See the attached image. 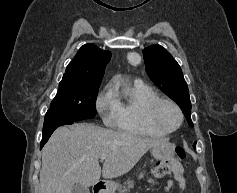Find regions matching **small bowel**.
I'll use <instances>...</instances> for the list:
<instances>
[{
	"instance_id": "small-bowel-1",
	"label": "small bowel",
	"mask_w": 237,
	"mask_h": 193,
	"mask_svg": "<svg viewBox=\"0 0 237 193\" xmlns=\"http://www.w3.org/2000/svg\"><path fill=\"white\" fill-rule=\"evenodd\" d=\"M172 174L173 180L166 185L165 193H169L173 189L182 191L186 188L183 168L176 160H172Z\"/></svg>"
}]
</instances>
